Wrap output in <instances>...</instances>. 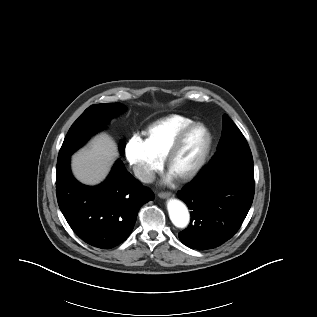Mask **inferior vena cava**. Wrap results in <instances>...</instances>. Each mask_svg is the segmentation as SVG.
I'll return each instance as SVG.
<instances>
[{
    "instance_id": "602c4592",
    "label": "inferior vena cava",
    "mask_w": 317,
    "mask_h": 317,
    "mask_svg": "<svg viewBox=\"0 0 317 317\" xmlns=\"http://www.w3.org/2000/svg\"><path fill=\"white\" fill-rule=\"evenodd\" d=\"M133 170L135 176L144 183H151L155 180V173L152 170L140 166H135Z\"/></svg>"
}]
</instances>
